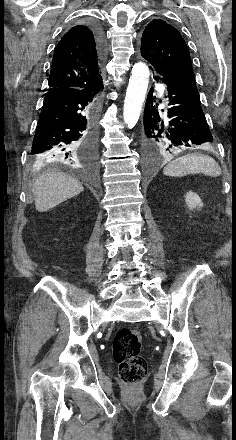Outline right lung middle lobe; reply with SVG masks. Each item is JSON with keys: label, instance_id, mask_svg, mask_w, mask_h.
<instances>
[{"label": "right lung middle lobe", "instance_id": "right-lung-middle-lobe-1", "mask_svg": "<svg viewBox=\"0 0 236 440\" xmlns=\"http://www.w3.org/2000/svg\"><path fill=\"white\" fill-rule=\"evenodd\" d=\"M32 162L35 164H39V163H41V160L38 157H32Z\"/></svg>", "mask_w": 236, "mask_h": 440}]
</instances>
